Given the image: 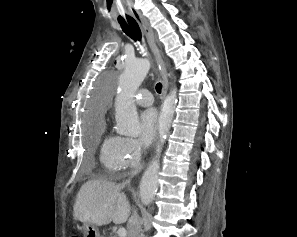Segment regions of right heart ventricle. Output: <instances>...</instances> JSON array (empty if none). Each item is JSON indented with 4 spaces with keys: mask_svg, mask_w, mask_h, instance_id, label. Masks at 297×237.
<instances>
[{
    "mask_svg": "<svg viewBox=\"0 0 297 237\" xmlns=\"http://www.w3.org/2000/svg\"><path fill=\"white\" fill-rule=\"evenodd\" d=\"M123 138L116 135H108L101 144L100 160L111 172L115 173L123 169L121 153Z\"/></svg>",
    "mask_w": 297,
    "mask_h": 237,
    "instance_id": "obj_1",
    "label": "right heart ventricle"
}]
</instances>
